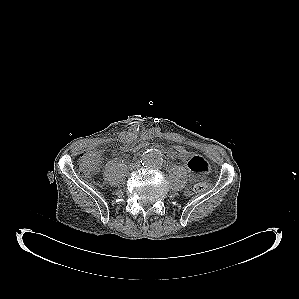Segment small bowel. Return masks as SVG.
I'll return each mask as SVG.
<instances>
[{
  "label": "small bowel",
  "instance_id": "1",
  "mask_svg": "<svg viewBox=\"0 0 299 299\" xmlns=\"http://www.w3.org/2000/svg\"><path fill=\"white\" fill-rule=\"evenodd\" d=\"M122 149L126 152L139 151V148L134 144V139L132 137L127 138L126 143L122 146ZM186 164L191 172L190 180L192 182L198 180L209 170L207 161L202 156L194 153L191 154V158Z\"/></svg>",
  "mask_w": 299,
  "mask_h": 299
}]
</instances>
